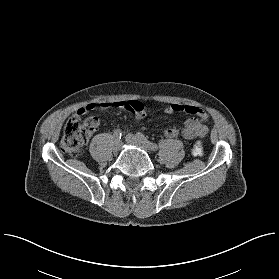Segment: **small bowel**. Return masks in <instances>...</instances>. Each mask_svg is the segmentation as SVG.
Here are the masks:
<instances>
[{"label":"small bowel","mask_w":279,"mask_h":279,"mask_svg":"<svg viewBox=\"0 0 279 279\" xmlns=\"http://www.w3.org/2000/svg\"><path fill=\"white\" fill-rule=\"evenodd\" d=\"M94 107L95 105L92 103L82 106L78 108V110L74 113L73 117L79 119L87 112L93 110ZM102 107L123 108L124 103L115 101L110 104H102ZM178 111H183L193 116L188 118L184 123V127L181 131V135L183 138L187 140H191L195 137L203 138L206 136L208 131V127L206 125V123H208V114L203 109L195 106H180V105H168L165 107V112L170 115H173ZM138 117L143 118L144 114L141 112L139 113ZM164 134L168 138H176L179 135V130L174 127H169L165 130Z\"/></svg>","instance_id":"c3829d8e"}]
</instances>
